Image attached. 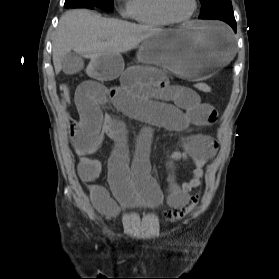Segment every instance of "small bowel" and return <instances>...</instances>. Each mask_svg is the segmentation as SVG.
<instances>
[{"mask_svg": "<svg viewBox=\"0 0 279 279\" xmlns=\"http://www.w3.org/2000/svg\"><path fill=\"white\" fill-rule=\"evenodd\" d=\"M74 103L77 117L70 122L69 137L80 157L78 176L87 185L94 206L107 215L118 213L117 202L126 207L141 204L150 208L162 202V191L150 174L149 151L154 128L183 131L191 125H212L217 117L215 108L202 102L195 91L171 85L160 70L142 66L127 68L118 86L82 83L75 92ZM109 105L145 124L132 160L125 124L106 111ZM104 136L115 144L108 163V180L115 199L97 183L101 163L88 157L98 149ZM216 151L217 144L211 136L193 134L183 139L180 149L167 155L171 169L180 160L195 166L190 178L181 184L172 174L169 176L167 201L171 207L187 204L189 193L201 184L203 168Z\"/></svg>", "mask_w": 279, "mask_h": 279, "instance_id": "c3829d8e", "label": "small bowel"}]
</instances>
